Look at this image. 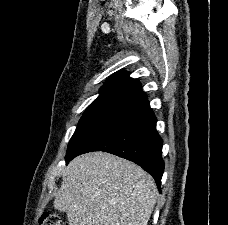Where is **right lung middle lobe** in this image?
<instances>
[{"label": "right lung middle lobe", "instance_id": "dd1d6c3e", "mask_svg": "<svg viewBox=\"0 0 228 225\" xmlns=\"http://www.w3.org/2000/svg\"><path fill=\"white\" fill-rule=\"evenodd\" d=\"M100 92V95L87 107L82 115L68 144L67 155L88 133L139 95L141 90L114 84L103 86Z\"/></svg>", "mask_w": 228, "mask_h": 225}]
</instances>
